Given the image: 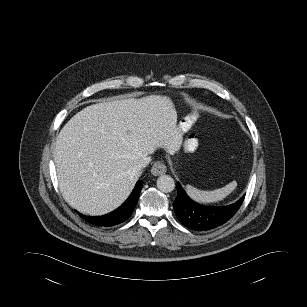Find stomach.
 <instances>
[{"label":"stomach","mask_w":307,"mask_h":307,"mask_svg":"<svg viewBox=\"0 0 307 307\" xmlns=\"http://www.w3.org/2000/svg\"><path fill=\"white\" fill-rule=\"evenodd\" d=\"M185 150L187 152H193L196 150L198 146V140L195 135H191L185 142Z\"/></svg>","instance_id":"0dacf381"}]
</instances>
